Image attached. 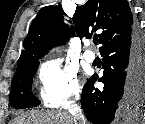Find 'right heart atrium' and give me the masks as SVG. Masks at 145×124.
I'll return each instance as SVG.
<instances>
[{
    "mask_svg": "<svg viewBox=\"0 0 145 124\" xmlns=\"http://www.w3.org/2000/svg\"><path fill=\"white\" fill-rule=\"evenodd\" d=\"M41 97L51 106L69 103L80 93L76 72L55 59L44 62L39 69Z\"/></svg>",
    "mask_w": 145,
    "mask_h": 124,
    "instance_id": "1",
    "label": "right heart atrium"
}]
</instances>
